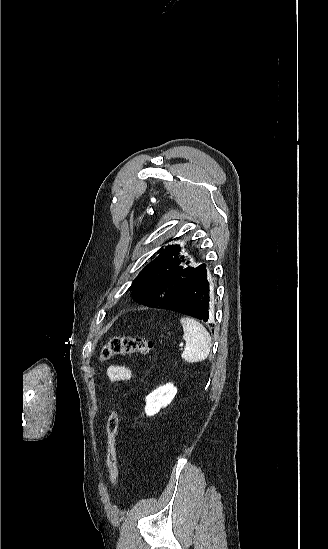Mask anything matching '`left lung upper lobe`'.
<instances>
[{
    "label": "left lung upper lobe",
    "mask_w": 328,
    "mask_h": 549,
    "mask_svg": "<svg viewBox=\"0 0 328 549\" xmlns=\"http://www.w3.org/2000/svg\"><path fill=\"white\" fill-rule=\"evenodd\" d=\"M180 251L179 245L159 249V256L145 266L130 286L134 299L151 306L172 295L179 281L194 269L188 261L184 264L185 256Z\"/></svg>",
    "instance_id": "5c2ea615"
}]
</instances>
